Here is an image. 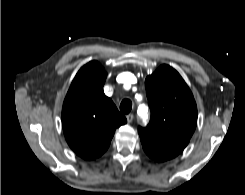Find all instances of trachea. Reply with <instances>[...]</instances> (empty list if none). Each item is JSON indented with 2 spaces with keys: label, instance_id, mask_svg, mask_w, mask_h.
<instances>
[{
  "label": "trachea",
  "instance_id": "3493384b",
  "mask_svg": "<svg viewBox=\"0 0 245 195\" xmlns=\"http://www.w3.org/2000/svg\"><path fill=\"white\" fill-rule=\"evenodd\" d=\"M132 109V102L129 99H124L120 104V111L124 114H128Z\"/></svg>",
  "mask_w": 245,
  "mask_h": 195
}]
</instances>
